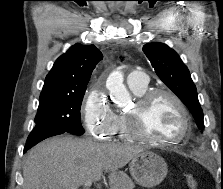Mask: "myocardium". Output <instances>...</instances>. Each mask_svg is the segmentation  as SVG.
Here are the masks:
<instances>
[{
	"instance_id": "obj_1",
	"label": "myocardium",
	"mask_w": 223,
	"mask_h": 189,
	"mask_svg": "<svg viewBox=\"0 0 223 189\" xmlns=\"http://www.w3.org/2000/svg\"><path fill=\"white\" fill-rule=\"evenodd\" d=\"M162 96L170 98L177 106L182 116L181 132L176 138L173 139H158L148 136L142 131L140 126L141 117L148 106L154 100ZM126 125L130 138L138 142L159 146H174L184 140L189 134L191 129V119L186 105L178 95L166 89H153L146 91L144 94L138 97L134 108L126 114Z\"/></svg>"
}]
</instances>
